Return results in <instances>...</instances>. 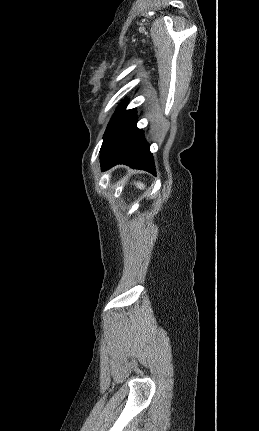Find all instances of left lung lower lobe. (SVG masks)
I'll return each mask as SVG.
<instances>
[{"instance_id":"1","label":"left lung lower lobe","mask_w":259,"mask_h":431,"mask_svg":"<svg viewBox=\"0 0 259 431\" xmlns=\"http://www.w3.org/2000/svg\"><path fill=\"white\" fill-rule=\"evenodd\" d=\"M136 112L130 113L110 134L101 147L102 171L116 164L148 171L154 175L155 167L149 144L143 131L136 127Z\"/></svg>"}]
</instances>
